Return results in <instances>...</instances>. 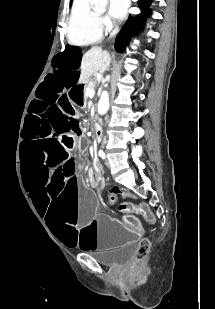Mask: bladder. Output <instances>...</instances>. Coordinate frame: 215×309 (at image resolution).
Here are the masks:
<instances>
[{"mask_svg": "<svg viewBox=\"0 0 215 309\" xmlns=\"http://www.w3.org/2000/svg\"><path fill=\"white\" fill-rule=\"evenodd\" d=\"M136 254V247L134 245H127L121 249L98 255L97 261L107 267H122L128 264Z\"/></svg>", "mask_w": 215, "mask_h": 309, "instance_id": "bladder-1", "label": "bladder"}]
</instances>
